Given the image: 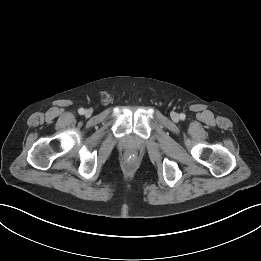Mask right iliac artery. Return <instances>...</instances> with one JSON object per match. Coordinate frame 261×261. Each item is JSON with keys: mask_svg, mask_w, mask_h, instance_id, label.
<instances>
[{"mask_svg": "<svg viewBox=\"0 0 261 261\" xmlns=\"http://www.w3.org/2000/svg\"><path fill=\"white\" fill-rule=\"evenodd\" d=\"M78 112H79L80 115H83V114L85 113V110H84L83 108H80V109L78 110Z\"/></svg>", "mask_w": 261, "mask_h": 261, "instance_id": "1", "label": "right iliac artery"}]
</instances>
